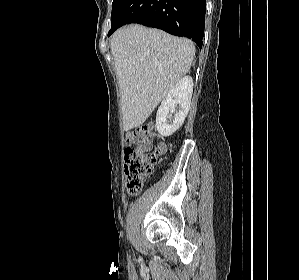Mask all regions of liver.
I'll list each match as a JSON object with an SVG mask.
<instances>
[{
    "label": "liver",
    "mask_w": 299,
    "mask_h": 280,
    "mask_svg": "<svg viewBox=\"0 0 299 280\" xmlns=\"http://www.w3.org/2000/svg\"><path fill=\"white\" fill-rule=\"evenodd\" d=\"M111 53L128 131L141 126L189 71L195 47L189 39L135 24L114 33Z\"/></svg>",
    "instance_id": "liver-1"
}]
</instances>
